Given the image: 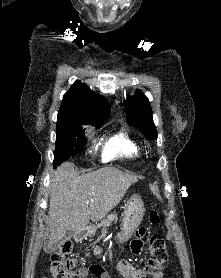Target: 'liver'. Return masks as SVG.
Masks as SVG:
<instances>
[{
	"label": "liver",
	"mask_w": 221,
	"mask_h": 278,
	"mask_svg": "<svg viewBox=\"0 0 221 278\" xmlns=\"http://www.w3.org/2000/svg\"><path fill=\"white\" fill-rule=\"evenodd\" d=\"M137 181V176L113 167L82 175L74 170L71 162L58 167L49 188L47 251H54L67 231H84L90 220L96 222L104 218Z\"/></svg>",
	"instance_id": "6515ba94"
}]
</instances>
